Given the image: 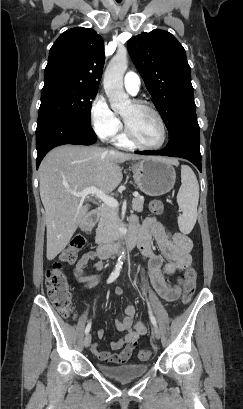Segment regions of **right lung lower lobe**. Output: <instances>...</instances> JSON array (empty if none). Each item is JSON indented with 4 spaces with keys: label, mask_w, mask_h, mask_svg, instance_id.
Segmentation results:
<instances>
[{
    "label": "right lung lower lobe",
    "mask_w": 243,
    "mask_h": 409,
    "mask_svg": "<svg viewBox=\"0 0 243 409\" xmlns=\"http://www.w3.org/2000/svg\"><path fill=\"white\" fill-rule=\"evenodd\" d=\"M97 136L91 125L65 120H48L36 129L37 169L43 157L54 147L64 144L91 145Z\"/></svg>",
    "instance_id": "obj_1"
}]
</instances>
